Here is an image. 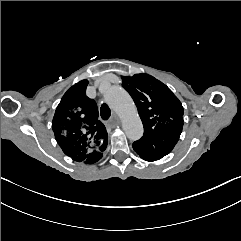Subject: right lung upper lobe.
Here are the masks:
<instances>
[{
	"label": "right lung upper lobe",
	"instance_id": "obj_1",
	"mask_svg": "<svg viewBox=\"0 0 241 241\" xmlns=\"http://www.w3.org/2000/svg\"><path fill=\"white\" fill-rule=\"evenodd\" d=\"M87 80L73 85L62 97L53 117L52 129L63 152L74 161L93 164L107 147L104 124L98 119V108L86 96Z\"/></svg>",
	"mask_w": 241,
	"mask_h": 241
}]
</instances>
